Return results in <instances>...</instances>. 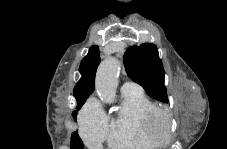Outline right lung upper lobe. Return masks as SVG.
Returning a JSON list of instances; mask_svg holds the SVG:
<instances>
[{
	"label": "right lung upper lobe",
	"instance_id": "obj_1",
	"mask_svg": "<svg viewBox=\"0 0 227 149\" xmlns=\"http://www.w3.org/2000/svg\"><path fill=\"white\" fill-rule=\"evenodd\" d=\"M100 51L97 45H93L88 54L81 61L79 72L81 79L76 83L74 88V97L77 100V107L82 106L90 94L94 91L95 75L100 63Z\"/></svg>",
	"mask_w": 227,
	"mask_h": 149
}]
</instances>
